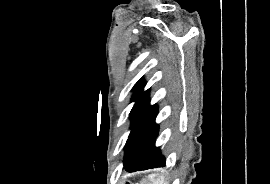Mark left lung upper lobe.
<instances>
[{"mask_svg":"<svg viewBox=\"0 0 270 184\" xmlns=\"http://www.w3.org/2000/svg\"><path fill=\"white\" fill-rule=\"evenodd\" d=\"M144 86L145 83L143 79H140L133 89L135 94L133 95L132 101H135V105L130 112V116L132 118V130L126 142L125 157L135 141L158 113V107L156 104L150 106L148 99L149 90L143 92Z\"/></svg>","mask_w":270,"mask_h":184,"instance_id":"5c2ea615","label":"left lung upper lobe"}]
</instances>
